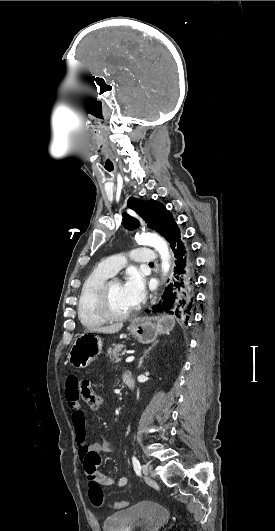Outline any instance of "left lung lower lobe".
<instances>
[{
	"mask_svg": "<svg viewBox=\"0 0 275 531\" xmlns=\"http://www.w3.org/2000/svg\"><path fill=\"white\" fill-rule=\"evenodd\" d=\"M166 239L175 258L174 278L165 289L159 303L153 306V311L175 315L187 324L192 314L195 296V259L177 224L171 227Z\"/></svg>",
	"mask_w": 275,
	"mask_h": 531,
	"instance_id": "1",
	"label": "left lung lower lobe"
}]
</instances>
